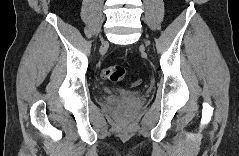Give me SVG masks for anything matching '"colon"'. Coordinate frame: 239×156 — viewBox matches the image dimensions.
Here are the masks:
<instances>
[{"label": "colon", "mask_w": 239, "mask_h": 156, "mask_svg": "<svg viewBox=\"0 0 239 156\" xmlns=\"http://www.w3.org/2000/svg\"><path fill=\"white\" fill-rule=\"evenodd\" d=\"M125 68L119 65L110 66L102 71V77L105 80L117 82L121 81L125 76ZM139 80L135 81L134 84H138Z\"/></svg>", "instance_id": "colon-1"}]
</instances>
